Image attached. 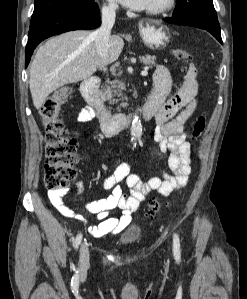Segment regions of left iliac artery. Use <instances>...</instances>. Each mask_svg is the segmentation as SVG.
I'll use <instances>...</instances> for the list:
<instances>
[{"mask_svg": "<svg viewBox=\"0 0 247 299\" xmlns=\"http://www.w3.org/2000/svg\"><path fill=\"white\" fill-rule=\"evenodd\" d=\"M173 251L175 259L180 261V239L176 233L173 236Z\"/></svg>", "mask_w": 247, "mask_h": 299, "instance_id": "left-iliac-artery-1", "label": "left iliac artery"}]
</instances>
